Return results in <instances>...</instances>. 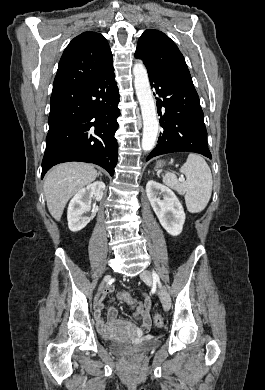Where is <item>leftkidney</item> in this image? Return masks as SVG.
Here are the masks:
<instances>
[{"instance_id":"left-kidney-1","label":"left kidney","mask_w":265,"mask_h":390,"mask_svg":"<svg viewBox=\"0 0 265 390\" xmlns=\"http://www.w3.org/2000/svg\"><path fill=\"white\" fill-rule=\"evenodd\" d=\"M146 193L162 227L170 235L178 236L183 229L185 213L177 196L171 189L154 180L146 184Z\"/></svg>"}]
</instances>
